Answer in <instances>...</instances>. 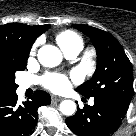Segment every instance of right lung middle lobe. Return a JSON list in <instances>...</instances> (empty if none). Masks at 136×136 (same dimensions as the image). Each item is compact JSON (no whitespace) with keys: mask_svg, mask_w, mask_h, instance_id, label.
<instances>
[{"mask_svg":"<svg viewBox=\"0 0 136 136\" xmlns=\"http://www.w3.org/2000/svg\"><path fill=\"white\" fill-rule=\"evenodd\" d=\"M28 55L0 48V97L16 93L15 73L26 68Z\"/></svg>","mask_w":136,"mask_h":136,"instance_id":"right-lung-middle-lobe-1","label":"right lung middle lobe"}]
</instances>
